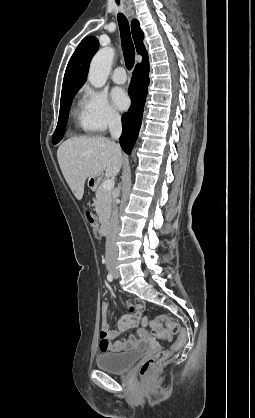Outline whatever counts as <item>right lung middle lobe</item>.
Masks as SVG:
<instances>
[{
  "label": "right lung middle lobe",
  "instance_id": "right-lung-middle-lobe-1",
  "mask_svg": "<svg viewBox=\"0 0 255 418\" xmlns=\"http://www.w3.org/2000/svg\"><path fill=\"white\" fill-rule=\"evenodd\" d=\"M77 92L78 90L61 93L59 119L52 137L53 144H57L63 138L72 99Z\"/></svg>",
  "mask_w": 255,
  "mask_h": 418
}]
</instances>
